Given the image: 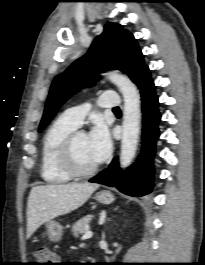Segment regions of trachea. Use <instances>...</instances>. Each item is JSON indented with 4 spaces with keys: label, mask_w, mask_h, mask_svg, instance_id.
I'll list each match as a JSON object with an SVG mask.
<instances>
[{
    "label": "trachea",
    "mask_w": 205,
    "mask_h": 265,
    "mask_svg": "<svg viewBox=\"0 0 205 265\" xmlns=\"http://www.w3.org/2000/svg\"><path fill=\"white\" fill-rule=\"evenodd\" d=\"M114 110H119V108H118V107H116V108H114Z\"/></svg>",
    "instance_id": "1"
}]
</instances>
